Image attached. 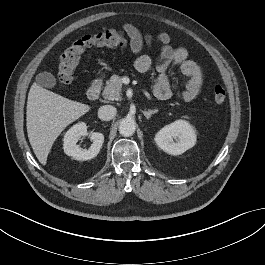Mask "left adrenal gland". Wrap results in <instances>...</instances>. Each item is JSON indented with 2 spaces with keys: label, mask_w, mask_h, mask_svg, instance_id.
Returning <instances> with one entry per match:
<instances>
[{
  "label": "left adrenal gland",
  "mask_w": 265,
  "mask_h": 265,
  "mask_svg": "<svg viewBox=\"0 0 265 265\" xmlns=\"http://www.w3.org/2000/svg\"><path fill=\"white\" fill-rule=\"evenodd\" d=\"M157 112H158V109L148 110V111L144 110V111H143V114H144V116H145L147 119H149V118L152 116V114H155V113H157Z\"/></svg>",
  "instance_id": "1"
}]
</instances>
